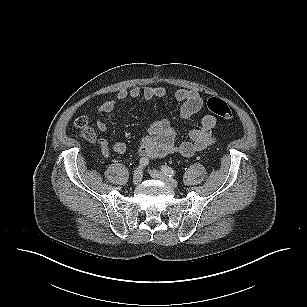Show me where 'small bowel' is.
Masks as SVG:
<instances>
[{"instance_id": "c3829d8e", "label": "small bowel", "mask_w": 307, "mask_h": 307, "mask_svg": "<svg viewBox=\"0 0 307 307\" xmlns=\"http://www.w3.org/2000/svg\"><path fill=\"white\" fill-rule=\"evenodd\" d=\"M167 95L165 88L161 86H149L145 88L132 87L131 89H121L117 93L119 101L128 99L143 98L147 101L161 99ZM176 101L181 103V117L189 120L204 108L202 96L193 90L179 89L174 93ZM116 107L115 100H107L98 108L97 127L99 131L106 132L107 125L103 117L112 112ZM217 125L215 116L207 114L202 117L199 128L188 132V140L180 143L175 142V130L167 119H156L148 129V135L145 136L138 149L141 158L156 159L162 158L168 154H179L184 157H191L196 152L204 150L216 140L214 129ZM97 144L106 157L110 155V146L106 139H99ZM112 149L118 154H123L127 150V145L123 141H117Z\"/></svg>"}]
</instances>
